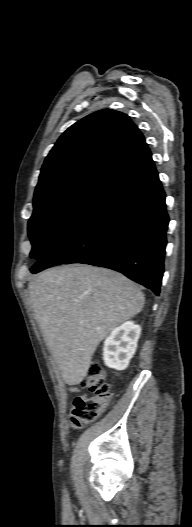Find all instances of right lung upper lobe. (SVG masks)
<instances>
[{"label": "right lung upper lobe", "instance_id": "cb5924a9", "mask_svg": "<svg viewBox=\"0 0 192 527\" xmlns=\"http://www.w3.org/2000/svg\"><path fill=\"white\" fill-rule=\"evenodd\" d=\"M147 148L129 116L104 109L68 128L46 157L35 194L94 177L110 180Z\"/></svg>", "mask_w": 192, "mask_h": 527}]
</instances>
